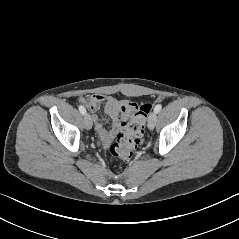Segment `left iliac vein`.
Masks as SVG:
<instances>
[{"label":"left iliac vein","mask_w":239,"mask_h":239,"mask_svg":"<svg viewBox=\"0 0 239 239\" xmlns=\"http://www.w3.org/2000/svg\"><path fill=\"white\" fill-rule=\"evenodd\" d=\"M156 120H157V113L153 111L148 118V128L150 130H153L155 125H156Z\"/></svg>","instance_id":"obj_1"}]
</instances>
